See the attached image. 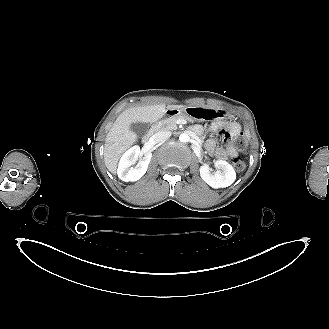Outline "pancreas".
<instances>
[{
	"label": "pancreas",
	"mask_w": 329,
	"mask_h": 329,
	"mask_svg": "<svg viewBox=\"0 0 329 329\" xmlns=\"http://www.w3.org/2000/svg\"><path fill=\"white\" fill-rule=\"evenodd\" d=\"M178 120H189V119L183 115L172 116L157 123V128L162 130H176L177 129L176 124Z\"/></svg>",
	"instance_id": "obj_1"
}]
</instances>
